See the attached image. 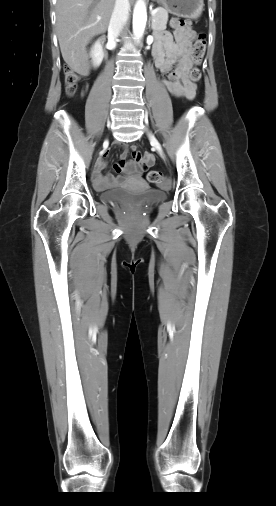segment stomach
<instances>
[{"mask_svg": "<svg viewBox=\"0 0 276 506\" xmlns=\"http://www.w3.org/2000/svg\"><path fill=\"white\" fill-rule=\"evenodd\" d=\"M161 3L166 10L176 16L191 19L198 18L203 10V0H156Z\"/></svg>", "mask_w": 276, "mask_h": 506, "instance_id": "obj_1", "label": "stomach"}]
</instances>
